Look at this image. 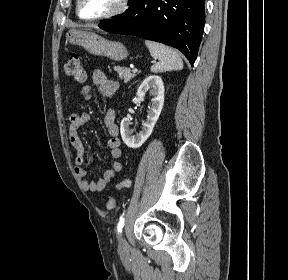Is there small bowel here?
<instances>
[{
	"label": "small bowel",
	"instance_id": "1",
	"mask_svg": "<svg viewBox=\"0 0 288 280\" xmlns=\"http://www.w3.org/2000/svg\"><path fill=\"white\" fill-rule=\"evenodd\" d=\"M92 80L107 101H111L114 98L119 87L118 82L109 79L101 70L93 71ZM82 93L88 99L90 97V87H84ZM115 117V110L112 107L107 110L104 116V126L109 135L107 144L112 158L111 167L105 171L103 177L99 180L89 181L86 178L87 171L85 169L86 148L80 135V129L89 122L90 115L87 112L81 111H74L70 114L69 142L75 151V175L79 180L80 187L84 191L101 192L122 170V164L119 161L121 156V140Z\"/></svg>",
	"mask_w": 288,
	"mask_h": 280
}]
</instances>
